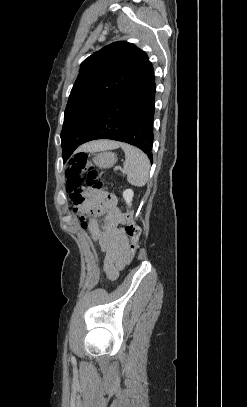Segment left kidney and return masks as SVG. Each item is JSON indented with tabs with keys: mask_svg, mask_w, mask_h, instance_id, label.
I'll use <instances>...</instances> for the list:
<instances>
[{
	"mask_svg": "<svg viewBox=\"0 0 247 407\" xmlns=\"http://www.w3.org/2000/svg\"><path fill=\"white\" fill-rule=\"evenodd\" d=\"M133 196H134V192L131 189H127L123 192V198L126 201L127 205L131 206Z\"/></svg>",
	"mask_w": 247,
	"mask_h": 407,
	"instance_id": "1",
	"label": "left kidney"
}]
</instances>
